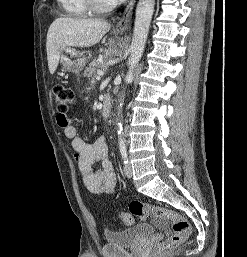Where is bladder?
Returning <instances> with one entry per match:
<instances>
[{
  "label": "bladder",
  "mask_w": 247,
  "mask_h": 257,
  "mask_svg": "<svg viewBox=\"0 0 247 257\" xmlns=\"http://www.w3.org/2000/svg\"><path fill=\"white\" fill-rule=\"evenodd\" d=\"M155 228L148 223H140L133 227L121 230H106L104 233L107 242L119 246H134L151 236Z\"/></svg>",
  "instance_id": "bladder-1"
}]
</instances>
